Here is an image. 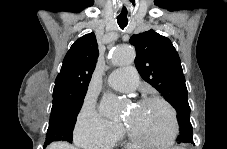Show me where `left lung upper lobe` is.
I'll list each match as a JSON object with an SVG mask.
<instances>
[{"label": "left lung upper lobe", "instance_id": "obj_1", "mask_svg": "<svg viewBox=\"0 0 227 149\" xmlns=\"http://www.w3.org/2000/svg\"><path fill=\"white\" fill-rule=\"evenodd\" d=\"M135 64L141 77L176 109L180 135L177 142L193 143L190 107L181 61L171 41L154 30L132 35Z\"/></svg>", "mask_w": 227, "mask_h": 149}]
</instances>
